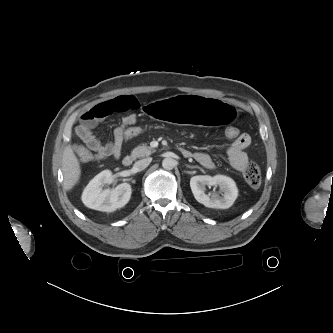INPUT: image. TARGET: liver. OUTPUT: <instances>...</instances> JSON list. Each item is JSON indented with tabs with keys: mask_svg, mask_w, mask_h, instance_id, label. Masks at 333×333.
<instances>
[{
	"mask_svg": "<svg viewBox=\"0 0 333 333\" xmlns=\"http://www.w3.org/2000/svg\"><path fill=\"white\" fill-rule=\"evenodd\" d=\"M62 170L65 189L70 190L79 181L81 175L80 163L71 145H68L63 151Z\"/></svg>",
	"mask_w": 333,
	"mask_h": 333,
	"instance_id": "liver-1",
	"label": "liver"
}]
</instances>
